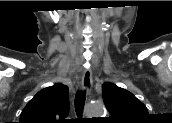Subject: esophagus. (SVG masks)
<instances>
[{
  "mask_svg": "<svg viewBox=\"0 0 172 123\" xmlns=\"http://www.w3.org/2000/svg\"><path fill=\"white\" fill-rule=\"evenodd\" d=\"M93 86L92 72L91 70H85L82 76L81 87L87 94L91 93Z\"/></svg>",
  "mask_w": 172,
  "mask_h": 123,
  "instance_id": "1",
  "label": "esophagus"
}]
</instances>
